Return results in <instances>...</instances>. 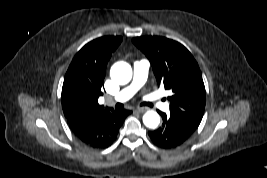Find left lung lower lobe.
Listing matches in <instances>:
<instances>
[{
	"label": "left lung lower lobe",
	"mask_w": 267,
	"mask_h": 178,
	"mask_svg": "<svg viewBox=\"0 0 267 178\" xmlns=\"http://www.w3.org/2000/svg\"><path fill=\"white\" fill-rule=\"evenodd\" d=\"M159 113L163 119L162 126L157 130L148 132L151 140L158 147L165 149L175 148L183 144L193 134L178 119L167 116L160 111Z\"/></svg>",
	"instance_id": "0a47b994"
}]
</instances>
